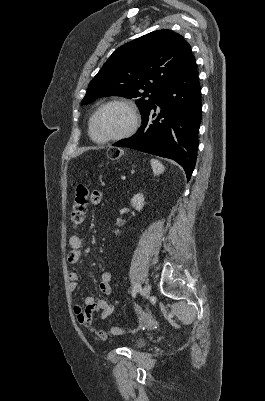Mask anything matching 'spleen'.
Segmentation results:
<instances>
[{
  "label": "spleen",
  "instance_id": "1",
  "mask_svg": "<svg viewBox=\"0 0 265 401\" xmlns=\"http://www.w3.org/2000/svg\"><path fill=\"white\" fill-rule=\"evenodd\" d=\"M150 164L153 168L154 176H156V174H162V172H164V170H165L164 164H162V162H160V160H156V158H151Z\"/></svg>",
  "mask_w": 265,
  "mask_h": 401
}]
</instances>
